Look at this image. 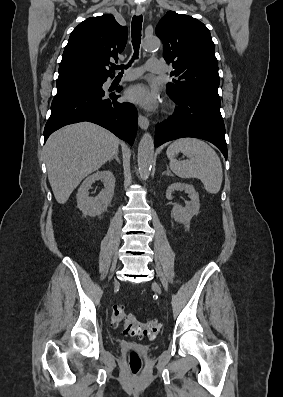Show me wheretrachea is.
I'll list each match as a JSON object with an SVG mask.
<instances>
[{"label": "trachea", "instance_id": "trachea-1", "mask_svg": "<svg viewBox=\"0 0 283 397\" xmlns=\"http://www.w3.org/2000/svg\"><path fill=\"white\" fill-rule=\"evenodd\" d=\"M142 21L143 17L142 15L139 16H134L132 18V23H131V35H132V44L134 48V55L131 59V61L128 63L127 66L122 65V66H116L113 65L112 67L114 69H121L122 71L119 73V75L123 74V69H126L131 65V63L138 58L139 55V47H140V42H141V29H142Z\"/></svg>", "mask_w": 283, "mask_h": 397}]
</instances>
